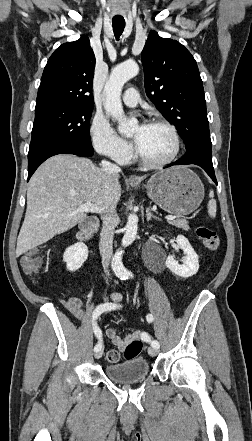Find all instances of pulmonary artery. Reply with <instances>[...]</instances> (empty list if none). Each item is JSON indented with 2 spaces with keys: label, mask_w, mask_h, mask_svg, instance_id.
I'll list each match as a JSON object with an SVG mask.
<instances>
[{
  "label": "pulmonary artery",
  "mask_w": 252,
  "mask_h": 441,
  "mask_svg": "<svg viewBox=\"0 0 252 441\" xmlns=\"http://www.w3.org/2000/svg\"><path fill=\"white\" fill-rule=\"evenodd\" d=\"M122 100L125 105L129 107H135L140 101L139 93L136 88H129L126 90L125 94L122 97Z\"/></svg>",
  "instance_id": "e3ab8cb5"
}]
</instances>
